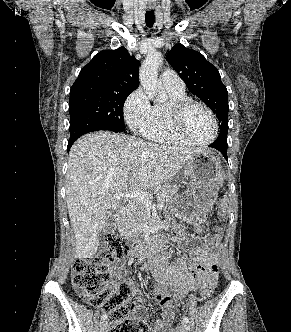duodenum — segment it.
<instances>
[{"label":"duodenum","mask_w":291,"mask_h":332,"mask_svg":"<svg viewBox=\"0 0 291 332\" xmlns=\"http://www.w3.org/2000/svg\"><path fill=\"white\" fill-rule=\"evenodd\" d=\"M161 226L160 222H154L152 224L153 229H157ZM137 239L134 237L133 241H136ZM162 247V242L158 241L155 245V247H151L145 242H140L139 243V248L136 251V255L139 257H151L155 252L159 251L160 248Z\"/></svg>","instance_id":"duodenum-1"}]
</instances>
